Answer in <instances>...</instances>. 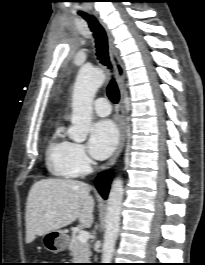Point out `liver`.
Segmentation results:
<instances>
[{"label": "liver", "instance_id": "1", "mask_svg": "<svg viewBox=\"0 0 205 265\" xmlns=\"http://www.w3.org/2000/svg\"><path fill=\"white\" fill-rule=\"evenodd\" d=\"M91 187L76 180L43 179L31 187L26 203V243L59 230L77 218L81 226L93 223L95 201Z\"/></svg>", "mask_w": 205, "mask_h": 265}]
</instances>
